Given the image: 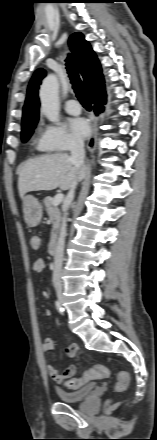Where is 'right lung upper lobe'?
I'll use <instances>...</instances> for the list:
<instances>
[{
  "label": "right lung upper lobe",
  "instance_id": "obj_1",
  "mask_svg": "<svg viewBox=\"0 0 157 440\" xmlns=\"http://www.w3.org/2000/svg\"><path fill=\"white\" fill-rule=\"evenodd\" d=\"M69 46L76 59L77 66L84 78V83L91 98L105 96L104 80L99 61L83 34L77 32L69 38ZM46 72L38 69L29 83L22 125L37 123L39 117L38 89Z\"/></svg>",
  "mask_w": 157,
  "mask_h": 440
}]
</instances>
